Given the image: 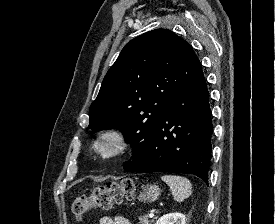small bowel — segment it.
<instances>
[{
	"instance_id": "obj_1",
	"label": "small bowel",
	"mask_w": 275,
	"mask_h": 224,
	"mask_svg": "<svg viewBox=\"0 0 275 224\" xmlns=\"http://www.w3.org/2000/svg\"><path fill=\"white\" fill-rule=\"evenodd\" d=\"M97 224H131L126 218L121 217V216H101L98 219Z\"/></svg>"
}]
</instances>
